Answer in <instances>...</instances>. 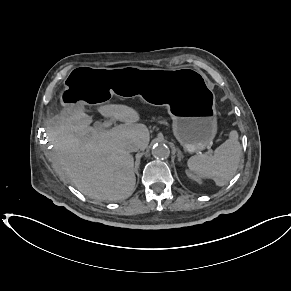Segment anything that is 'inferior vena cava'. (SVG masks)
<instances>
[{"label":"inferior vena cava","instance_id":"602c4592","mask_svg":"<svg viewBox=\"0 0 291 291\" xmlns=\"http://www.w3.org/2000/svg\"><path fill=\"white\" fill-rule=\"evenodd\" d=\"M127 150L129 152H137L139 150V146L135 143H132L127 146Z\"/></svg>","mask_w":291,"mask_h":291}]
</instances>
